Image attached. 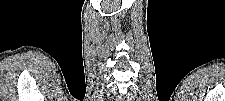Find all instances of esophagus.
Returning <instances> with one entry per match:
<instances>
[{"label":"esophagus","instance_id":"1","mask_svg":"<svg viewBox=\"0 0 225 101\" xmlns=\"http://www.w3.org/2000/svg\"><path fill=\"white\" fill-rule=\"evenodd\" d=\"M119 101H124V100H123V98L120 97V98H119Z\"/></svg>","mask_w":225,"mask_h":101}]
</instances>
